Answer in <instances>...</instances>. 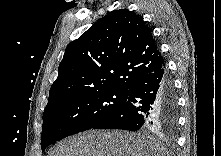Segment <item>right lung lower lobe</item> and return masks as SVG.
Here are the masks:
<instances>
[{"mask_svg":"<svg viewBox=\"0 0 221 156\" xmlns=\"http://www.w3.org/2000/svg\"><path fill=\"white\" fill-rule=\"evenodd\" d=\"M177 115L176 90L164 65L133 84L125 103L93 129L137 131L144 127H166L175 130Z\"/></svg>","mask_w":221,"mask_h":156,"instance_id":"98d812e1","label":"right lung lower lobe"}]
</instances>
